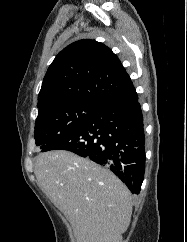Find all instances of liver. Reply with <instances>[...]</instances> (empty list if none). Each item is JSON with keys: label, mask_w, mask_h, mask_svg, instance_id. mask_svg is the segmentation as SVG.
I'll use <instances>...</instances> for the list:
<instances>
[{"label": "liver", "mask_w": 187, "mask_h": 242, "mask_svg": "<svg viewBox=\"0 0 187 242\" xmlns=\"http://www.w3.org/2000/svg\"><path fill=\"white\" fill-rule=\"evenodd\" d=\"M34 173L51 201L68 217L77 242L121 241L132 215V196L109 170L68 151L37 156Z\"/></svg>", "instance_id": "obj_1"}]
</instances>
